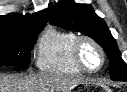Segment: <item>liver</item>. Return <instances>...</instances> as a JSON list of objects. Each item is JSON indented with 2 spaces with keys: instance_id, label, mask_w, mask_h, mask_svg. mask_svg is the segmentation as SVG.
<instances>
[{
  "instance_id": "obj_1",
  "label": "liver",
  "mask_w": 127,
  "mask_h": 92,
  "mask_svg": "<svg viewBox=\"0 0 127 92\" xmlns=\"http://www.w3.org/2000/svg\"><path fill=\"white\" fill-rule=\"evenodd\" d=\"M80 77L54 74L11 77L0 74V92H69L84 83Z\"/></svg>"
}]
</instances>
